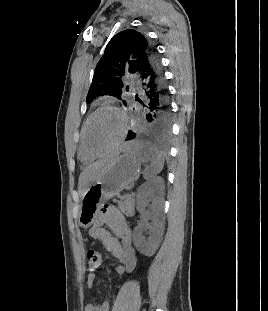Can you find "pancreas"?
<instances>
[{"label":"pancreas","instance_id":"pancreas-1","mask_svg":"<svg viewBox=\"0 0 268 311\" xmlns=\"http://www.w3.org/2000/svg\"><path fill=\"white\" fill-rule=\"evenodd\" d=\"M118 208L127 216L132 217L134 213L135 199L131 195H125L124 201L115 200Z\"/></svg>","mask_w":268,"mask_h":311}]
</instances>
